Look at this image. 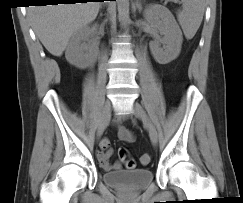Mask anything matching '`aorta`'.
I'll return each mask as SVG.
<instances>
[{"label": "aorta", "instance_id": "aorta-1", "mask_svg": "<svg viewBox=\"0 0 243 203\" xmlns=\"http://www.w3.org/2000/svg\"><path fill=\"white\" fill-rule=\"evenodd\" d=\"M118 18L121 26L127 29L129 25V0H117Z\"/></svg>", "mask_w": 243, "mask_h": 203}]
</instances>
